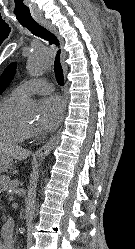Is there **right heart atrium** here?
<instances>
[{
  "label": "right heart atrium",
  "mask_w": 135,
  "mask_h": 249,
  "mask_svg": "<svg viewBox=\"0 0 135 249\" xmlns=\"http://www.w3.org/2000/svg\"><path fill=\"white\" fill-rule=\"evenodd\" d=\"M31 133H35V130L34 129H31V131H30Z\"/></svg>",
  "instance_id": "1"
}]
</instances>
